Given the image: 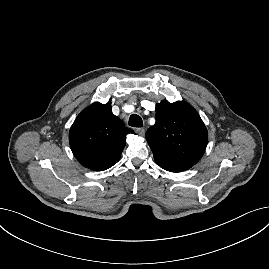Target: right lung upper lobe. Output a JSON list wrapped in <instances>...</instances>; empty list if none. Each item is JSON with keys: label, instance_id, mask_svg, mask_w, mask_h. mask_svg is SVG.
<instances>
[{"label": "right lung upper lobe", "instance_id": "cb5924a9", "mask_svg": "<svg viewBox=\"0 0 269 269\" xmlns=\"http://www.w3.org/2000/svg\"><path fill=\"white\" fill-rule=\"evenodd\" d=\"M111 104L95 102L75 119L69 133L71 150L85 167L103 171L116 164L133 130L111 111Z\"/></svg>", "mask_w": 269, "mask_h": 269}]
</instances>
